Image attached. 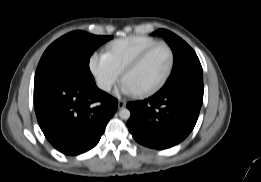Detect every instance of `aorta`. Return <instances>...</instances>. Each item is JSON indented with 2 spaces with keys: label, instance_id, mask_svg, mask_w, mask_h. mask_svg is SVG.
Returning a JSON list of instances; mask_svg holds the SVG:
<instances>
[{
  "label": "aorta",
  "instance_id": "1",
  "mask_svg": "<svg viewBox=\"0 0 261 182\" xmlns=\"http://www.w3.org/2000/svg\"><path fill=\"white\" fill-rule=\"evenodd\" d=\"M130 111L127 109V108H122L120 111H119V117L121 119H124V120H128L130 118Z\"/></svg>",
  "mask_w": 261,
  "mask_h": 182
}]
</instances>
